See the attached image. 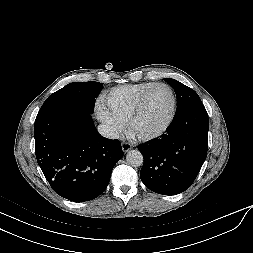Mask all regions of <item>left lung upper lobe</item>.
<instances>
[{"instance_id":"obj_1","label":"left lung upper lobe","mask_w":253,"mask_h":253,"mask_svg":"<svg viewBox=\"0 0 253 253\" xmlns=\"http://www.w3.org/2000/svg\"><path fill=\"white\" fill-rule=\"evenodd\" d=\"M173 87L177 96V112L181 111L190 106L201 104V100L198 94L186 85L178 82L175 79L166 78L164 79Z\"/></svg>"}]
</instances>
